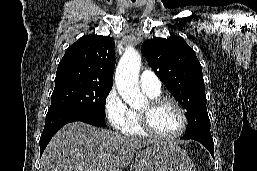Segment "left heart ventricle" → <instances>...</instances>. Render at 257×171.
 <instances>
[{
	"mask_svg": "<svg viewBox=\"0 0 257 171\" xmlns=\"http://www.w3.org/2000/svg\"><path fill=\"white\" fill-rule=\"evenodd\" d=\"M147 108V103L140 110ZM150 120L153 128L162 134H173L182 125V118L179 111L172 104L165 103L158 106L151 112Z\"/></svg>",
	"mask_w": 257,
	"mask_h": 171,
	"instance_id": "b2bd125f",
	"label": "left heart ventricle"
}]
</instances>
